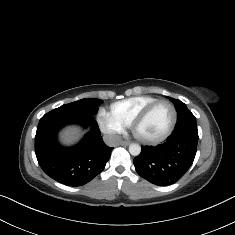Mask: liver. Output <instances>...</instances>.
I'll use <instances>...</instances> for the list:
<instances>
[{"label":"liver","mask_w":235,"mask_h":235,"mask_svg":"<svg viewBox=\"0 0 235 235\" xmlns=\"http://www.w3.org/2000/svg\"><path fill=\"white\" fill-rule=\"evenodd\" d=\"M81 135L82 132L79 127L69 126L59 133V138L64 145H70L78 141Z\"/></svg>","instance_id":"1"}]
</instances>
